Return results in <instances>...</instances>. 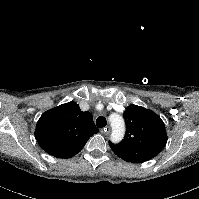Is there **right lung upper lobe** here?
<instances>
[{
    "label": "right lung upper lobe",
    "instance_id": "1",
    "mask_svg": "<svg viewBox=\"0 0 199 199\" xmlns=\"http://www.w3.org/2000/svg\"><path fill=\"white\" fill-rule=\"evenodd\" d=\"M98 132L92 114L69 102L46 111L37 122L35 138L41 148L57 158L79 153L88 139Z\"/></svg>",
    "mask_w": 199,
    "mask_h": 199
}]
</instances>
